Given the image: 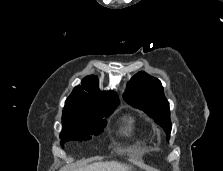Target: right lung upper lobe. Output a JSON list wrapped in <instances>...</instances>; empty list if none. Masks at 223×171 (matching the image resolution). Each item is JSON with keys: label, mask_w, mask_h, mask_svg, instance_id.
<instances>
[{"label": "right lung upper lobe", "mask_w": 223, "mask_h": 171, "mask_svg": "<svg viewBox=\"0 0 223 171\" xmlns=\"http://www.w3.org/2000/svg\"><path fill=\"white\" fill-rule=\"evenodd\" d=\"M118 104L119 100L116 93L99 91L97 79L86 77L82 81V86L74 88L65 102V107L102 108L113 107Z\"/></svg>", "instance_id": "1"}]
</instances>
